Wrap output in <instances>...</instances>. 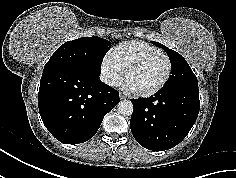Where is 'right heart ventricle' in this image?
Listing matches in <instances>:
<instances>
[{
	"label": "right heart ventricle",
	"instance_id": "e07e8e85",
	"mask_svg": "<svg viewBox=\"0 0 236 178\" xmlns=\"http://www.w3.org/2000/svg\"><path fill=\"white\" fill-rule=\"evenodd\" d=\"M156 52H161V50L145 42L132 40L119 43L111 50L110 54L120 68L124 70L133 60Z\"/></svg>",
	"mask_w": 236,
	"mask_h": 178
}]
</instances>
